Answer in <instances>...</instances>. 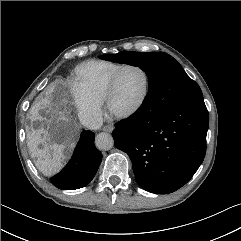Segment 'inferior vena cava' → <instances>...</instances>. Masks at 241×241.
Returning <instances> with one entry per match:
<instances>
[{
    "instance_id": "1",
    "label": "inferior vena cava",
    "mask_w": 241,
    "mask_h": 241,
    "mask_svg": "<svg viewBox=\"0 0 241 241\" xmlns=\"http://www.w3.org/2000/svg\"><path fill=\"white\" fill-rule=\"evenodd\" d=\"M102 118L98 116L88 115L87 117L82 119V123L90 128V129H97L102 125Z\"/></svg>"
}]
</instances>
